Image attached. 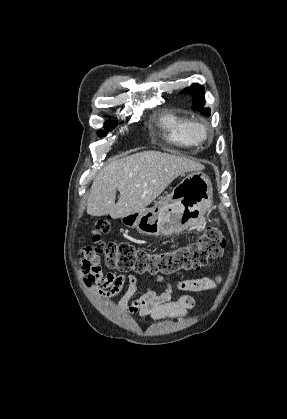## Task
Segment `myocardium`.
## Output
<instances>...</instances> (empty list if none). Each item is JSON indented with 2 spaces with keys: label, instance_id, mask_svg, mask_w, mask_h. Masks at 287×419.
<instances>
[{
  "label": "myocardium",
  "instance_id": "myocardium-1",
  "mask_svg": "<svg viewBox=\"0 0 287 419\" xmlns=\"http://www.w3.org/2000/svg\"><path fill=\"white\" fill-rule=\"evenodd\" d=\"M188 135L196 143H203L210 137V131L206 124L200 121H190Z\"/></svg>",
  "mask_w": 287,
  "mask_h": 419
}]
</instances>
